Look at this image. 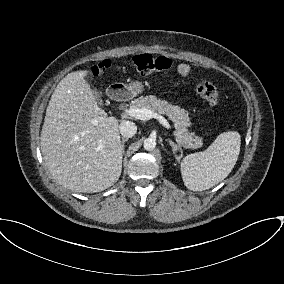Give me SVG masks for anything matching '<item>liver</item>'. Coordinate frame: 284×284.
<instances>
[{"mask_svg":"<svg viewBox=\"0 0 284 284\" xmlns=\"http://www.w3.org/2000/svg\"><path fill=\"white\" fill-rule=\"evenodd\" d=\"M88 71L67 74L49 101L40 136L53 178L74 192H101L116 183L123 150L119 120L108 117L84 79Z\"/></svg>","mask_w":284,"mask_h":284,"instance_id":"liver-1","label":"liver"}]
</instances>
